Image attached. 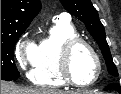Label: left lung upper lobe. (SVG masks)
<instances>
[{"mask_svg":"<svg viewBox=\"0 0 121 94\" xmlns=\"http://www.w3.org/2000/svg\"><path fill=\"white\" fill-rule=\"evenodd\" d=\"M64 8L84 22L87 30L99 45L106 61L108 72L118 76L117 68L113 63L109 46L106 41L105 30L100 22L98 12L90 0H60Z\"/></svg>","mask_w":121,"mask_h":94,"instance_id":"obj_1","label":"left lung upper lobe"}]
</instances>
